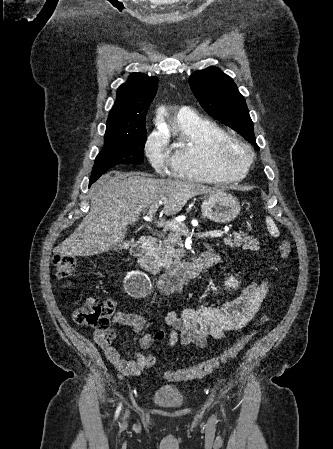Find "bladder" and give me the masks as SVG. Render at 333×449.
<instances>
[{"label": "bladder", "mask_w": 333, "mask_h": 449, "mask_svg": "<svg viewBox=\"0 0 333 449\" xmlns=\"http://www.w3.org/2000/svg\"><path fill=\"white\" fill-rule=\"evenodd\" d=\"M152 400L158 407L167 409L181 407L185 401L183 393L173 386L159 387L154 391Z\"/></svg>", "instance_id": "obj_1"}]
</instances>
